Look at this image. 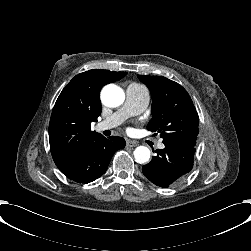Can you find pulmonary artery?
<instances>
[{"label": "pulmonary artery", "mask_w": 251, "mask_h": 251, "mask_svg": "<svg viewBox=\"0 0 251 251\" xmlns=\"http://www.w3.org/2000/svg\"><path fill=\"white\" fill-rule=\"evenodd\" d=\"M149 98L146 91L137 83H130L126 88V100L121 109L99 122L95 126L97 132H102L122 124L128 117L142 113L148 106ZM158 148L164 144L159 142Z\"/></svg>", "instance_id": "e3ab8cb5"}]
</instances>
